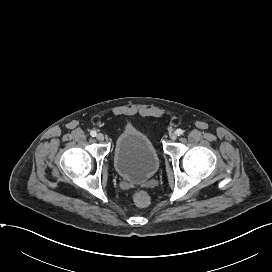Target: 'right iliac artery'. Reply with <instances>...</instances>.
<instances>
[{"label":"right iliac artery","mask_w":272,"mask_h":272,"mask_svg":"<svg viewBox=\"0 0 272 272\" xmlns=\"http://www.w3.org/2000/svg\"><path fill=\"white\" fill-rule=\"evenodd\" d=\"M90 135H91L92 137H95V136L97 135V133H96L95 130H92V131L90 132Z\"/></svg>","instance_id":"1"}]
</instances>
